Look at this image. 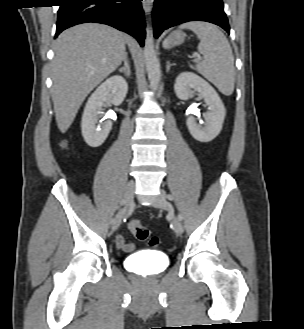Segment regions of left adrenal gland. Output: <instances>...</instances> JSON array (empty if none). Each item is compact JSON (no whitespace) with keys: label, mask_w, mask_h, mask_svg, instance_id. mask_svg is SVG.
Wrapping results in <instances>:
<instances>
[{"label":"left adrenal gland","mask_w":304,"mask_h":329,"mask_svg":"<svg viewBox=\"0 0 304 329\" xmlns=\"http://www.w3.org/2000/svg\"><path fill=\"white\" fill-rule=\"evenodd\" d=\"M174 65L175 64H171L170 61H167L166 72L168 73L170 71V67Z\"/></svg>","instance_id":"a2214340"}]
</instances>
